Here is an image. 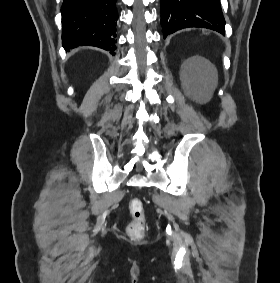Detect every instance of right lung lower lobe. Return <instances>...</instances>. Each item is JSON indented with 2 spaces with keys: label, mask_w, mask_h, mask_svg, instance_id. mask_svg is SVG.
Returning a JSON list of instances; mask_svg holds the SVG:
<instances>
[{
  "label": "right lung lower lobe",
  "mask_w": 280,
  "mask_h": 283,
  "mask_svg": "<svg viewBox=\"0 0 280 283\" xmlns=\"http://www.w3.org/2000/svg\"><path fill=\"white\" fill-rule=\"evenodd\" d=\"M117 0H63L62 44L95 46L112 53L116 49Z\"/></svg>",
  "instance_id": "right-lung-lower-lobe-1"
}]
</instances>
